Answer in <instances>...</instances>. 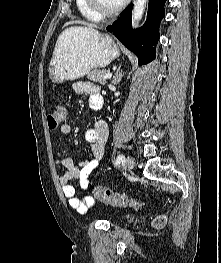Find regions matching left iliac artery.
Wrapping results in <instances>:
<instances>
[{"label": "left iliac artery", "mask_w": 221, "mask_h": 263, "mask_svg": "<svg viewBox=\"0 0 221 263\" xmlns=\"http://www.w3.org/2000/svg\"><path fill=\"white\" fill-rule=\"evenodd\" d=\"M124 161H125L124 155L120 154V155L117 157L116 161H115V165H118V164H120L121 162L123 163Z\"/></svg>", "instance_id": "obj_1"}]
</instances>
